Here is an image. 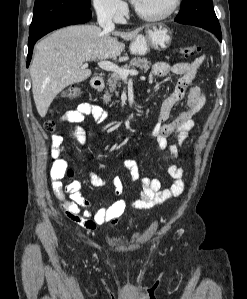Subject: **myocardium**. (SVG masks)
Returning a JSON list of instances; mask_svg holds the SVG:
<instances>
[{"instance_id":"f54148a6","label":"myocardium","mask_w":247,"mask_h":299,"mask_svg":"<svg viewBox=\"0 0 247 299\" xmlns=\"http://www.w3.org/2000/svg\"><path fill=\"white\" fill-rule=\"evenodd\" d=\"M180 2L181 0H171L169 6L164 11L155 14L145 13L138 9L136 6L134 7V11L137 14V16H139L143 20L156 22L170 17L176 11L178 6L180 5Z\"/></svg>"}]
</instances>
